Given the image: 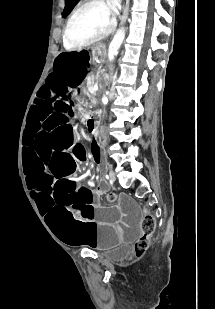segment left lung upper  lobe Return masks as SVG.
Listing matches in <instances>:
<instances>
[{"label": "left lung upper lobe", "instance_id": "1", "mask_svg": "<svg viewBox=\"0 0 215 309\" xmlns=\"http://www.w3.org/2000/svg\"><path fill=\"white\" fill-rule=\"evenodd\" d=\"M66 1V5H65V9L63 11V17H66L69 12L71 11L74 3L77 1V0H65Z\"/></svg>", "mask_w": 215, "mask_h": 309}]
</instances>
